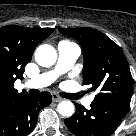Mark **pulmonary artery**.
Wrapping results in <instances>:
<instances>
[{"label":"pulmonary artery","mask_w":136,"mask_h":136,"mask_svg":"<svg viewBox=\"0 0 136 136\" xmlns=\"http://www.w3.org/2000/svg\"><path fill=\"white\" fill-rule=\"evenodd\" d=\"M57 48L58 60L55 69L28 80L25 87L39 89L50 85L60 74L67 72L80 55L79 46L69 41L59 42ZM93 99V96H89L84 99L83 104L89 106Z\"/></svg>","instance_id":"pulmonary-artery-1"}]
</instances>
